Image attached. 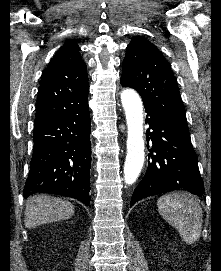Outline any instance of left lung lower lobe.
Wrapping results in <instances>:
<instances>
[{"mask_svg":"<svg viewBox=\"0 0 221 271\" xmlns=\"http://www.w3.org/2000/svg\"><path fill=\"white\" fill-rule=\"evenodd\" d=\"M145 112L146 122L149 124L147 140L152 141L151 159L148 157L146 174L132 195L130 207L142 198L176 189H184L200 196L203 181L189 130L149 108L145 107Z\"/></svg>","mask_w":221,"mask_h":271,"instance_id":"1","label":"left lung lower lobe"}]
</instances>
